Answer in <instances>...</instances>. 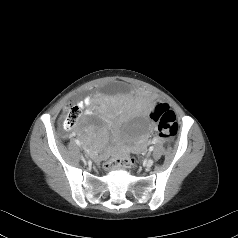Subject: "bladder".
I'll use <instances>...</instances> for the list:
<instances>
[{"mask_svg": "<svg viewBox=\"0 0 238 238\" xmlns=\"http://www.w3.org/2000/svg\"><path fill=\"white\" fill-rule=\"evenodd\" d=\"M129 90V85L126 82H119L117 83H112V84H107L104 87V92L107 95H112V94H117L119 93H126Z\"/></svg>", "mask_w": 238, "mask_h": 238, "instance_id": "1", "label": "bladder"}]
</instances>
